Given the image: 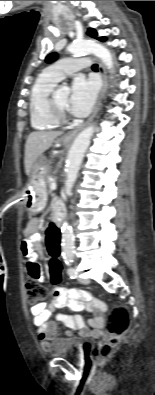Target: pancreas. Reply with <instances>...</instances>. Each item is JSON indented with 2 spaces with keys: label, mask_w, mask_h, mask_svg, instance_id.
<instances>
[{
  "label": "pancreas",
  "mask_w": 155,
  "mask_h": 395,
  "mask_svg": "<svg viewBox=\"0 0 155 395\" xmlns=\"http://www.w3.org/2000/svg\"><path fill=\"white\" fill-rule=\"evenodd\" d=\"M52 182H55L54 177H47L46 180H45V183H46V185L48 187V192L49 193L52 192V189L50 188V185H51Z\"/></svg>",
  "instance_id": "1"
}]
</instances>
